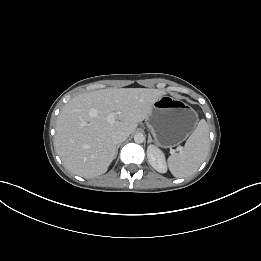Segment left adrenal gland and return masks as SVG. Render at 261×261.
Listing matches in <instances>:
<instances>
[{
  "instance_id": "obj_1",
  "label": "left adrenal gland",
  "mask_w": 261,
  "mask_h": 261,
  "mask_svg": "<svg viewBox=\"0 0 261 261\" xmlns=\"http://www.w3.org/2000/svg\"><path fill=\"white\" fill-rule=\"evenodd\" d=\"M150 142H152V138H151V136L149 135V136H148V143H150Z\"/></svg>"
}]
</instances>
